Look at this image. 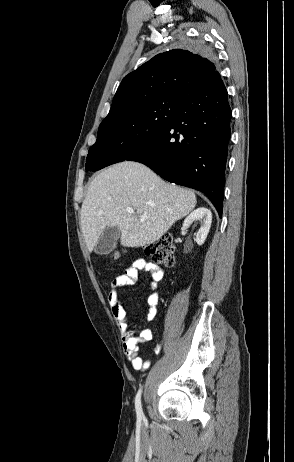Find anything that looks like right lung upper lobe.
Listing matches in <instances>:
<instances>
[{
  "label": "right lung upper lobe",
  "instance_id": "cb5924a9",
  "mask_svg": "<svg viewBox=\"0 0 294 462\" xmlns=\"http://www.w3.org/2000/svg\"><path fill=\"white\" fill-rule=\"evenodd\" d=\"M221 78L212 55L175 49L156 55L123 78L109 113L168 94L186 97Z\"/></svg>",
  "mask_w": 294,
  "mask_h": 462
}]
</instances>
